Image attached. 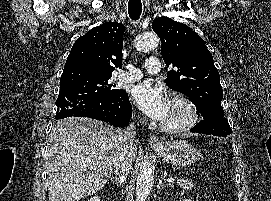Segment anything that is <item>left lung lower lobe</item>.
<instances>
[{
  "mask_svg": "<svg viewBox=\"0 0 271 201\" xmlns=\"http://www.w3.org/2000/svg\"><path fill=\"white\" fill-rule=\"evenodd\" d=\"M216 128L210 127V126H205V127H193L190 129L191 132L195 133H202V134H207L208 132L215 131Z\"/></svg>",
  "mask_w": 271,
  "mask_h": 201,
  "instance_id": "left-lung-lower-lobe-1",
  "label": "left lung lower lobe"
}]
</instances>
